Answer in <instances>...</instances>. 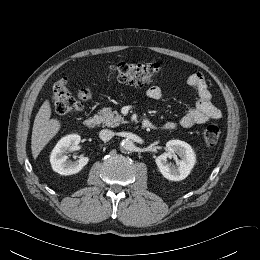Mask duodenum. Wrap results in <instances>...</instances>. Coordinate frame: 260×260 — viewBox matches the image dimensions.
Here are the masks:
<instances>
[{
  "label": "duodenum",
  "instance_id": "1",
  "mask_svg": "<svg viewBox=\"0 0 260 260\" xmlns=\"http://www.w3.org/2000/svg\"><path fill=\"white\" fill-rule=\"evenodd\" d=\"M98 124V118L95 117V116H90V117H87L85 120H84V126L88 129H92L94 127H96ZM141 127L143 129H151L153 128V124L152 122H150L149 120L145 119L141 122Z\"/></svg>",
  "mask_w": 260,
  "mask_h": 260
}]
</instances>
